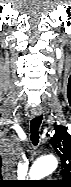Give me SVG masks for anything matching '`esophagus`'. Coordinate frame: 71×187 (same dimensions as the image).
<instances>
[{"label":"esophagus","mask_w":71,"mask_h":187,"mask_svg":"<svg viewBox=\"0 0 71 187\" xmlns=\"http://www.w3.org/2000/svg\"><path fill=\"white\" fill-rule=\"evenodd\" d=\"M31 114L32 116L36 117L42 114V109L41 107H34L31 109Z\"/></svg>","instance_id":"1"}]
</instances>
